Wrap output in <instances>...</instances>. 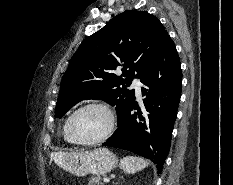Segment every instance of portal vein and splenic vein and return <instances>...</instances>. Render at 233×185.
Segmentation results:
<instances>
[{
	"label": "portal vein and splenic vein",
	"mask_w": 233,
	"mask_h": 185,
	"mask_svg": "<svg viewBox=\"0 0 233 185\" xmlns=\"http://www.w3.org/2000/svg\"><path fill=\"white\" fill-rule=\"evenodd\" d=\"M103 181H104L105 183H108V182L110 181V179H109V178H104Z\"/></svg>",
	"instance_id": "1"
}]
</instances>
